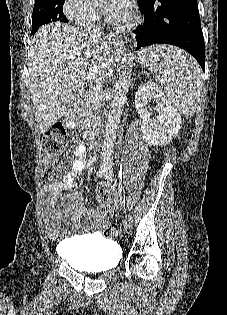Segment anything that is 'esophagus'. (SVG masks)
Returning a JSON list of instances; mask_svg holds the SVG:
<instances>
[{"mask_svg":"<svg viewBox=\"0 0 227 315\" xmlns=\"http://www.w3.org/2000/svg\"><path fill=\"white\" fill-rule=\"evenodd\" d=\"M111 37H113V36H111ZM111 39V38H110ZM114 43H116L117 45H119L120 44V41L118 40V39H116V38H112L111 39Z\"/></svg>","mask_w":227,"mask_h":315,"instance_id":"34e87169","label":"esophagus"}]
</instances>
